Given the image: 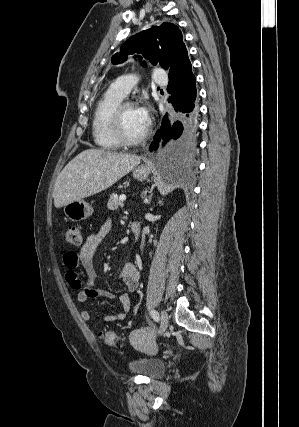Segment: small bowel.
Wrapping results in <instances>:
<instances>
[{
  "label": "small bowel",
  "instance_id": "obj_1",
  "mask_svg": "<svg viewBox=\"0 0 299 427\" xmlns=\"http://www.w3.org/2000/svg\"><path fill=\"white\" fill-rule=\"evenodd\" d=\"M111 230V222L106 221L97 230L90 233L78 252L68 251L63 255V263L66 268V281L78 291L77 299L80 303H85L89 298L103 297L114 298L115 295L110 292L97 291L95 289L96 271L94 267V255L98 247L102 244ZM82 266L85 271V278L82 279L77 273L78 266ZM120 280L124 283L129 292L137 289L140 273L132 263L123 265L120 274ZM121 309L116 314H106L102 316L105 322L123 321L131 308V300L127 293L118 296ZM80 316L83 320L89 321L97 317L96 314L82 310Z\"/></svg>",
  "mask_w": 299,
  "mask_h": 427
}]
</instances>
